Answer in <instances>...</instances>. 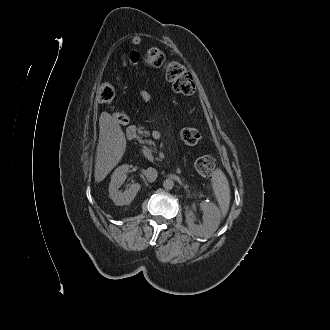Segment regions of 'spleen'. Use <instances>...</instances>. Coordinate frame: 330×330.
Instances as JSON below:
<instances>
[{"label": "spleen", "mask_w": 330, "mask_h": 330, "mask_svg": "<svg viewBox=\"0 0 330 330\" xmlns=\"http://www.w3.org/2000/svg\"><path fill=\"white\" fill-rule=\"evenodd\" d=\"M213 191L218 201L221 214L228 213L230 205V187L228 180L221 169H216L212 176Z\"/></svg>", "instance_id": "spleen-1"}]
</instances>
